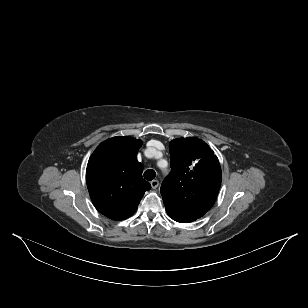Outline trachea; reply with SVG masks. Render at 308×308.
Instances as JSON below:
<instances>
[{"mask_svg":"<svg viewBox=\"0 0 308 308\" xmlns=\"http://www.w3.org/2000/svg\"><path fill=\"white\" fill-rule=\"evenodd\" d=\"M155 176H156V173H155V171L152 170V169H148V170H146V171L144 172V178H145L146 180H148V181L153 180V179L155 178Z\"/></svg>","mask_w":308,"mask_h":308,"instance_id":"3493384b","label":"trachea"}]
</instances>
